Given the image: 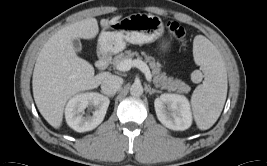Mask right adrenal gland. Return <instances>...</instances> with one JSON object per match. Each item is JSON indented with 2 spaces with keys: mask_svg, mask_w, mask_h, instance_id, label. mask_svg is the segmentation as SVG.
Masks as SVG:
<instances>
[{
  "mask_svg": "<svg viewBox=\"0 0 267 166\" xmlns=\"http://www.w3.org/2000/svg\"><path fill=\"white\" fill-rule=\"evenodd\" d=\"M109 97H113L114 95H108Z\"/></svg>",
  "mask_w": 267,
  "mask_h": 166,
  "instance_id": "1",
  "label": "right adrenal gland"
}]
</instances>
